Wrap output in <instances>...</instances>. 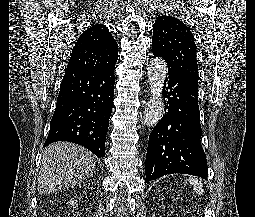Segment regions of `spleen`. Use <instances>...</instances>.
<instances>
[{
	"mask_svg": "<svg viewBox=\"0 0 255 217\" xmlns=\"http://www.w3.org/2000/svg\"><path fill=\"white\" fill-rule=\"evenodd\" d=\"M190 184L194 187V190L199 194L202 195L204 190H203V184L201 181H199L197 178H191L189 179Z\"/></svg>",
	"mask_w": 255,
	"mask_h": 217,
	"instance_id": "spleen-1",
	"label": "spleen"
}]
</instances>
